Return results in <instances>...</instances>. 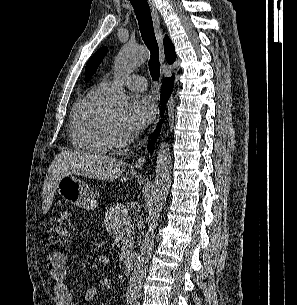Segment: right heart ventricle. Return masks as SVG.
Masks as SVG:
<instances>
[{
	"label": "right heart ventricle",
	"mask_w": 297,
	"mask_h": 305,
	"mask_svg": "<svg viewBox=\"0 0 297 305\" xmlns=\"http://www.w3.org/2000/svg\"><path fill=\"white\" fill-rule=\"evenodd\" d=\"M105 93L100 86L96 87L73 110L70 138L78 150L92 154H106L110 150L104 137L107 117L103 108Z\"/></svg>",
	"instance_id": "obj_1"
}]
</instances>
